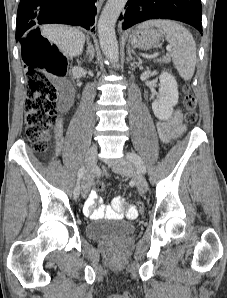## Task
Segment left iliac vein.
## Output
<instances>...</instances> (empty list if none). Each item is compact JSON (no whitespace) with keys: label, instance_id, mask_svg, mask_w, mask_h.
<instances>
[{"label":"left iliac vein","instance_id":"1","mask_svg":"<svg viewBox=\"0 0 227 298\" xmlns=\"http://www.w3.org/2000/svg\"><path fill=\"white\" fill-rule=\"evenodd\" d=\"M114 172L125 175L133 176L136 186L141 193H146L148 190V183L146 178L139 172H136L132 163L129 160H122L121 162L112 166Z\"/></svg>","mask_w":227,"mask_h":298}]
</instances>
